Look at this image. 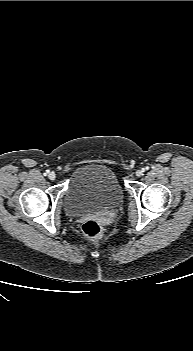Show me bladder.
Wrapping results in <instances>:
<instances>
[{
    "instance_id": "31cf9c89",
    "label": "bladder",
    "mask_w": 193,
    "mask_h": 351,
    "mask_svg": "<svg viewBox=\"0 0 193 351\" xmlns=\"http://www.w3.org/2000/svg\"><path fill=\"white\" fill-rule=\"evenodd\" d=\"M123 190L115 173L98 163L84 165L73 174L67 189L64 209L80 215L116 206Z\"/></svg>"
}]
</instances>
